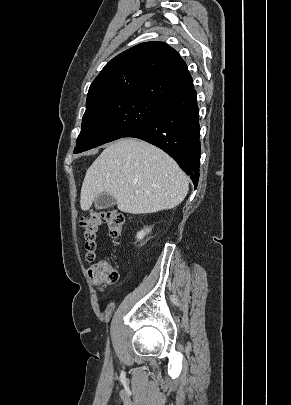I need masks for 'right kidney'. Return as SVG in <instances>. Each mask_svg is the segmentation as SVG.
<instances>
[{
  "label": "right kidney",
  "mask_w": 291,
  "mask_h": 405,
  "mask_svg": "<svg viewBox=\"0 0 291 405\" xmlns=\"http://www.w3.org/2000/svg\"><path fill=\"white\" fill-rule=\"evenodd\" d=\"M150 231H151L150 228H146V229H144V230H141L140 232L137 233V236H136L137 239H138V240L143 239L144 236H145L147 233H149Z\"/></svg>",
  "instance_id": "right-kidney-1"
}]
</instances>
